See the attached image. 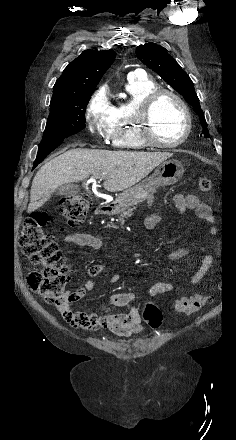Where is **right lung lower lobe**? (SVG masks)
I'll return each instance as SVG.
<instances>
[{"label": "right lung lower lobe", "mask_w": 236, "mask_h": 440, "mask_svg": "<svg viewBox=\"0 0 236 440\" xmlns=\"http://www.w3.org/2000/svg\"><path fill=\"white\" fill-rule=\"evenodd\" d=\"M63 141L52 142L47 144L39 145L37 158L34 162L33 169L43 161V159L51 153L54 149H56Z\"/></svg>", "instance_id": "right-lung-lower-lobe-1"}]
</instances>
